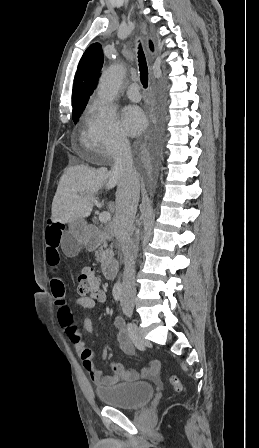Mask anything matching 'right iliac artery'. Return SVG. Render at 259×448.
Listing matches in <instances>:
<instances>
[{
    "mask_svg": "<svg viewBox=\"0 0 259 448\" xmlns=\"http://www.w3.org/2000/svg\"><path fill=\"white\" fill-rule=\"evenodd\" d=\"M122 296V286L121 284H115L113 287V297L116 301H119Z\"/></svg>",
    "mask_w": 259,
    "mask_h": 448,
    "instance_id": "right-iliac-artery-1",
    "label": "right iliac artery"
}]
</instances>
